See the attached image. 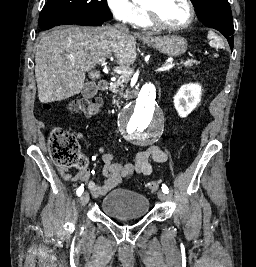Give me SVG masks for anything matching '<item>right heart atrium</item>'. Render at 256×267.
I'll return each instance as SVG.
<instances>
[{"label":"right heart atrium","instance_id":"obj_1","mask_svg":"<svg viewBox=\"0 0 256 267\" xmlns=\"http://www.w3.org/2000/svg\"><path fill=\"white\" fill-rule=\"evenodd\" d=\"M133 7H134L133 12L130 15L125 16V17H119L113 12L114 19L123 24H133L134 20L142 16L143 14V11L140 5H134Z\"/></svg>","mask_w":256,"mask_h":267}]
</instances>
